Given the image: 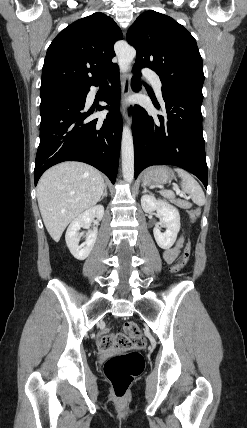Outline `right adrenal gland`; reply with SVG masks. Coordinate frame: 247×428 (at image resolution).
<instances>
[{"mask_svg": "<svg viewBox=\"0 0 247 428\" xmlns=\"http://www.w3.org/2000/svg\"><path fill=\"white\" fill-rule=\"evenodd\" d=\"M107 196V185L105 184L104 185V192H103V194H102V196H101V198H100V201L104 198V197H106Z\"/></svg>", "mask_w": 247, "mask_h": 428, "instance_id": "right-adrenal-gland-1", "label": "right adrenal gland"}]
</instances>
